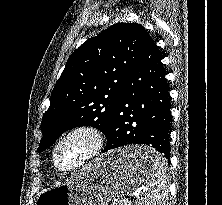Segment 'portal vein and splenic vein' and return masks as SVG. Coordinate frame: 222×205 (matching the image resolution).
<instances>
[{
  "mask_svg": "<svg viewBox=\"0 0 222 205\" xmlns=\"http://www.w3.org/2000/svg\"><path fill=\"white\" fill-rule=\"evenodd\" d=\"M141 192H142V188H138V189H136L135 191H133V192L130 194V196H131V197H138V196L141 194ZM124 201L129 203L128 199H124Z\"/></svg>",
  "mask_w": 222,
  "mask_h": 205,
  "instance_id": "18ae733b",
  "label": "portal vein and splenic vein"
}]
</instances>
